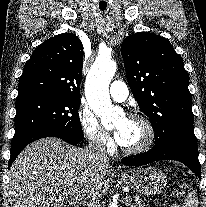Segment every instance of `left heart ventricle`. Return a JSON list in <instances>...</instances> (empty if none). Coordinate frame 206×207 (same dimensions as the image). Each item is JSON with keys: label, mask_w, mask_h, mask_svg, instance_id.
<instances>
[{"label": "left heart ventricle", "mask_w": 206, "mask_h": 207, "mask_svg": "<svg viewBox=\"0 0 206 207\" xmlns=\"http://www.w3.org/2000/svg\"><path fill=\"white\" fill-rule=\"evenodd\" d=\"M115 128L123 131L124 139L121 145L125 148H135L143 144L147 137L145 126L138 121L121 118L116 123Z\"/></svg>", "instance_id": "obj_1"}]
</instances>
